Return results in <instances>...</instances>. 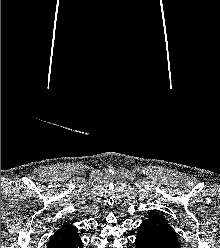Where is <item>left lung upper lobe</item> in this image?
<instances>
[{
    "instance_id": "left-lung-upper-lobe-1",
    "label": "left lung upper lobe",
    "mask_w": 220,
    "mask_h": 248,
    "mask_svg": "<svg viewBox=\"0 0 220 248\" xmlns=\"http://www.w3.org/2000/svg\"><path fill=\"white\" fill-rule=\"evenodd\" d=\"M158 240L171 248H181L174 229L168 224L165 217L158 212L151 211L142 224Z\"/></svg>"
}]
</instances>
